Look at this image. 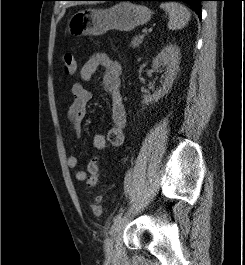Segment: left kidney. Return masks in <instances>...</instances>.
Returning <instances> with one entry per match:
<instances>
[{
  "label": "left kidney",
  "mask_w": 245,
  "mask_h": 265,
  "mask_svg": "<svg viewBox=\"0 0 245 265\" xmlns=\"http://www.w3.org/2000/svg\"><path fill=\"white\" fill-rule=\"evenodd\" d=\"M180 49L175 44L166 45L161 52L153 59L152 68H165V80L162 88L152 95H143L142 104L148 105L157 102L172 87L173 81L179 69Z\"/></svg>",
  "instance_id": "left-kidney-1"
}]
</instances>
